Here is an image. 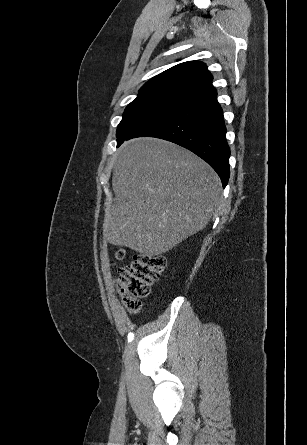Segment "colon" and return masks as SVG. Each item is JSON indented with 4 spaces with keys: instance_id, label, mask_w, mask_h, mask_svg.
I'll list each match as a JSON object with an SVG mask.
<instances>
[{
    "instance_id": "colon-1",
    "label": "colon",
    "mask_w": 307,
    "mask_h": 445,
    "mask_svg": "<svg viewBox=\"0 0 307 445\" xmlns=\"http://www.w3.org/2000/svg\"><path fill=\"white\" fill-rule=\"evenodd\" d=\"M125 256L124 249H118L115 253L117 260H123ZM165 266L166 260L162 256L138 254L119 270L116 280L118 291L130 312L140 311V299L149 295L152 285L159 279Z\"/></svg>"
}]
</instances>
